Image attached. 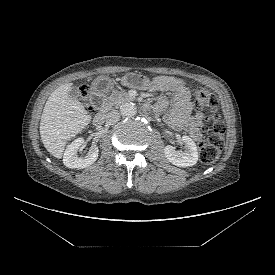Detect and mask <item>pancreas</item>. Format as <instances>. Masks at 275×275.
Wrapping results in <instances>:
<instances>
[{
  "label": "pancreas",
  "instance_id": "pancreas-1",
  "mask_svg": "<svg viewBox=\"0 0 275 275\" xmlns=\"http://www.w3.org/2000/svg\"><path fill=\"white\" fill-rule=\"evenodd\" d=\"M133 98L128 95L127 92L125 91H113L112 94L107 97L104 101V109L109 110L113 106H120L122 103L127 102V101H132Z\"/></svg>",
  "mask_w": 275,
  "mask_h": 275
}]
</instances>
